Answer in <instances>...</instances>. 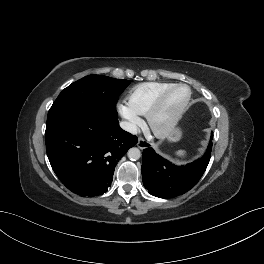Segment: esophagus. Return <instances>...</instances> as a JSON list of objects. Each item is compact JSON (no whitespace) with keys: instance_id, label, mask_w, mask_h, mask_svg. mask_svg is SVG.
<instances>
[{"instance_id":"1","label":"esophagus","mask_w":264,"mask_h":264,"mask_svg":"<svg viewBox=\"0 0 264 264\" xmlns=\"http://www.w3.org/2000/svg\"><path fill=\"white\" fill-rule=\"evenodd\" d=\"M137 146L140 149H145V148H147L149 146V142H147L143 138L139 137L138 138V142H137Z\"/></svg>"}]
</instances>
